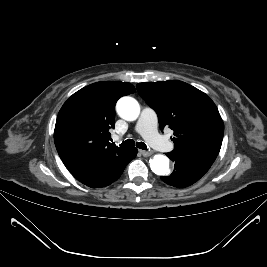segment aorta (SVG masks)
I'll list each match as a JSON object with an SVG mask.
<instances>
[{
	"label": "aorta",
	"mask_w": 267,
	"mask_h": 267,
	"mask_svg": "<svg viewBox=\"0 0 267 267\" xmlns=\"http://www.w3.org/2000/svg\"><path fill=\"white\" fill-rule=\"evenodd\" d=\"M118 115L126 121H135L140 114V105L132 97L125 96L118 100L116 105ZM150 168L157 175H167L170 172L169 159L161 154L150 160Z\"/></svg>",
	"instance_id": "1"
}]
</instances>
